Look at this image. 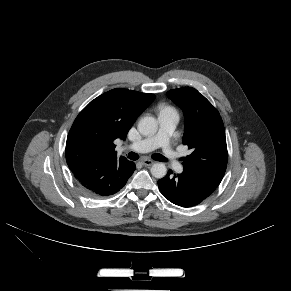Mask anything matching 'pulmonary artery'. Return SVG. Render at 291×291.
<instances>
[{
  "mask_svg": "<svg viewBox=\"0 0 291 291\" xmlns=\"http://www.w3.org/2000/svg\"><path fill=\"white\" fill-rule=\"evenodd\" d=\"M159 130L148 138L132 143L128 146L129 149L145 153L156 148H161L167 162L178 172H183V166L179 162L178 154L171 145L172 134L178 124L179 116L177 112H164L158 116Z\"/></svg>",
  "mask_w": 291,
  "mask_h": 291,
  "instance_id": "1",
  "label": "pulmonary artery"
}]
</instances>
